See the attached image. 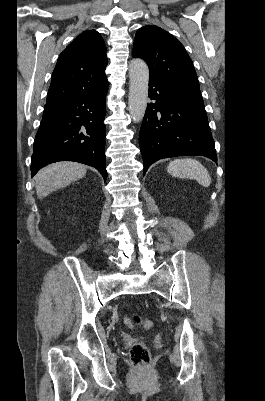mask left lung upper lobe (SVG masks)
<instances>
[{"mask_svg":"<svg viewBox=\"0 0 265 401\" xmlns=\"http://www.w3.org/2000/svg\"><path fill=\"white\" fill-rule=\"evenodd\" d=\"M132 56L148 64L149 80L200 89L192 60L183 45L157 26L147 25L137 31Z\"/></svg>","mask_w":265,"mask_h":401,"instance_id":"left-lung-upper-lobe-1","label":"left lung upper lobe"}]
</instances>
